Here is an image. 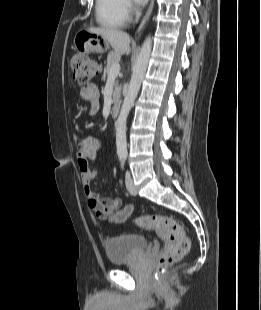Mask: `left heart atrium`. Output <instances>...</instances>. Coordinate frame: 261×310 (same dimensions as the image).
I'll return each mask as SVG.
<instances>
[{"instance_id":"39dd6f15","label":"left heart atrium","mask_w":261,"mask_h":310,"mask_svg":"<svg viewBox=\"0 0 261 310\" xmlns=\"http://www.w3.org/2000/svg\"><path fill=\"white\" fill-rule=\"evenodd\" d=\"M136 4L144 5L148 0H133Z\"/></svg>"}]
</instances>
